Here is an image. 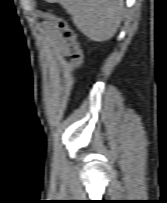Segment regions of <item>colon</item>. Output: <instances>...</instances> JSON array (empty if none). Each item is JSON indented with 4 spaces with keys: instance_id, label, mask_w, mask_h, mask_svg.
Here are the masks:
<instances>
[{
    "instance_id": "obj_1",
    "label": "colon",
    "mask_w": 167,
    "mask_h": 203,
    "mask_svg": "<svg viewBox=\"0 0 167 203\" xmlns=\"http://www.w3.org/2000/svg\"><path fill=\"white\" fill-rule=\"evenodd\" d=\"M38 15L48 22L52 23L61 33L62 37L69 43L73 49V60L75 63V74L77 75L83 65L84 55L78 41L77 35L70 25L63 18L58 17L50 12L38 11Z\"/></svg>"
}]
</instances>
